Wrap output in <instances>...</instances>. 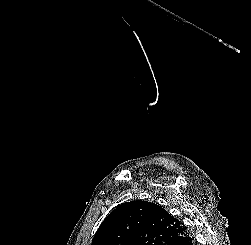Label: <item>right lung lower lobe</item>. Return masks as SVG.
<instances>
[{
    "mask_svg": "<svg viewBox=\"0 0 251 245\" xmlns=\"http://www.w3.org/2000/svg\"><path fill=\"white\" fill-rule=\"evenodd\" d=\"M172 245H196L194 238L186 231V234Z\"/></svg>",
    "mask_w": 251,
    "mask_h": 245,
    "instance_id": "obj_1",
    "label": "right lung lower lobe"
}]
</instances>
